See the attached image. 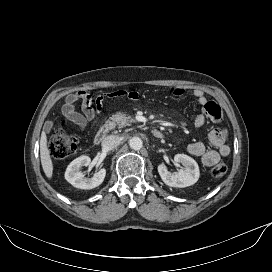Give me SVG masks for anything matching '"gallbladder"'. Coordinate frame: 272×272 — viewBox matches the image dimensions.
I'll return each mask as SVG.
<instances>
[{
  "label": "gallbladder",
  "instance_id": "bac80fb5",
  "mask_svg": "<svg viewBox=\"0 0 272 272\" xmlns=\"http://www.w3.org/2000/svg\"><path fill=\"white\" fill-rule=\"evenodd\" d=\"M53 128V123L51 121H47L44 124V131H46L47 133H49L51 131V129Z\"/></svg>",
  "mask_w": 272,
  "mask_h": 272
}]
</instances>
